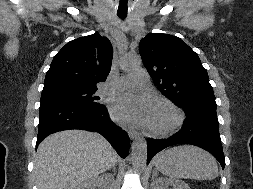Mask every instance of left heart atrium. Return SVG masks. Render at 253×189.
Here are the masks:
<instances>
[{
  "instance_id": "1",
  "label": "left heart atrium",
  "mask_w": 253,
  "mask_h": 189,
  "mask_svg": "<svg viewBox=\"0 0 253 189\" xmlns=\"http://www.w3.org/2000/svg\"><path fill=\"white\" fill-rule=\"evenodd\" d=\"M152 113V102L145 95L124 93L117 96L111 106L113 119L125 125L149 126Z\"/></svg>"
}]
</instances>
